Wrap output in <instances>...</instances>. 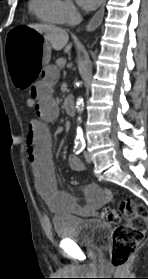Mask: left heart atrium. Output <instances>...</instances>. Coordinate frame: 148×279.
<instances>
[{"label": "left heart atrium", "mask_w": 148, "mask_h": 279, "mask_svg": "<svg viewBox=\"0 0 148 279\" xmlns=\"http://www.w3.org/2000/svg\"><path fill=\"white\" fill-rule=\"evenodd\" d=\"M102 0H77L78 4L85 10L96 8Z\"/></svg>", "instance_id": "left-heart-atrium-1"}]
</instances>
